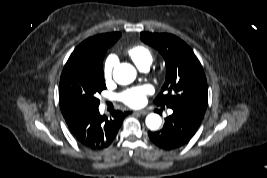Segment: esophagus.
Instances as JSON below:
<instances>
[{
	"mask_svg": "<svg viewBox=\"0 0 267 178\" xmlns=\"http://www.w3.org/2000/svg\"><path fill=\"white\" fill-rule=\"evenodd\" d=\"M135 113L140 114V115H146L148 112L146 110H140V111H136Z\"/></svg>",
	"mask_w": 267,
	"mask_h": 178,
	"instance_id": "1",
	"label": "esophagus"
}]
</instances>
